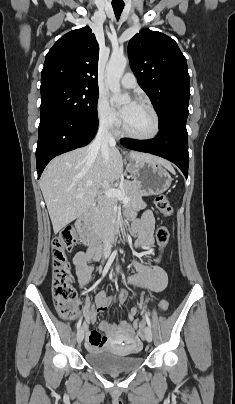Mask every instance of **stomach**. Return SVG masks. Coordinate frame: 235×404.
<instances>
[{
	"label": "stomach",
	"instance_id": "0dacf381",
	"mask_svg": "<svg viewBox=\"0 0 235 404\" xmlns=\"http://www.w3.org/2000/svg\"><path fill=\"white\" fill-rule=\"evenodd\" d=\"M128 167L142 191V195L151 196L165 192L172 178L166 168L154 158L140 160L129 159Z\"/></svg>",
	"mask_w": 235,
	"mask_h": 404
}]
</instances>
